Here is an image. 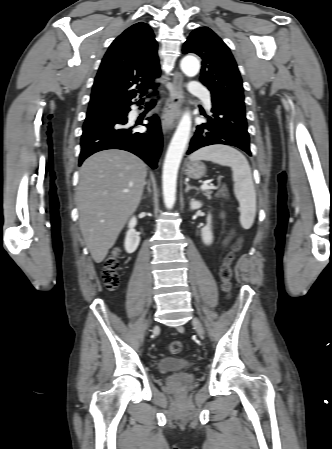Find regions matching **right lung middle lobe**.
<instances>
[{"label": "right lung middle lobe", "instance_id": "dd1d6c3e", "mask_svg": "<svg viewBox=\"0 0 332 449\" xmlns=\"http://www.w3.org/2000/svg\"><path fill=\"white\" fill-rule=\"evenodd\" d=\"M122 112H123V109H113V110L104 111V112L87 113V116H86L85 121H86V120H91V119H95V118L101 117V116H103V115H105V114H108V113L120 114V113H122Z\"/></svg>", "mask_w": 332, "mask_h": 449}]
</instances>
